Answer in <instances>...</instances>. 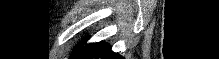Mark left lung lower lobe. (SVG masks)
Instances as JSON below:
<instances>
[{"instance_id": "left-lung-lower-lobe-1", "label": "left lung lower lobe", "mask_w": 219, "mask_h": 59, "mask_svg": "<svg viewBox=\"0 0 219 59\" xmlns=\"http://www.w3.org/2000/svg\"><path fill=\"white\" fill-rule=\"evenodd\" d=\"M118 59L122 58L117 53H114L110 46L106 43H92L81 45L76 49L69 59Z\"/></svg>"}]
</instances>
